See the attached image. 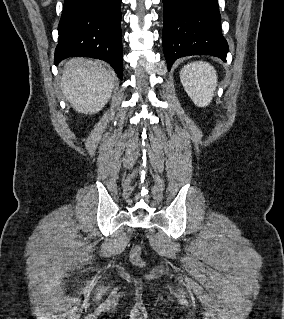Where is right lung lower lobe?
I'll use <instances>...</instances> for the list:
<instances>
[{
    "label": "right lung lower lobe",
    "instance_id": "1",
    "mask_svg": "<svg viewBox=\"0 0 284 319\" xmlns=\"http://www.w3.org/2000/svg\"><path fill=\"white\" fill-rule=\"evenodd\" d=\"M121 0H65L54 61L85 56L108 62L122 79Z\"/></svg>",
    "mask_w": 284,
    "mask_h": 319
}]
</instances>
